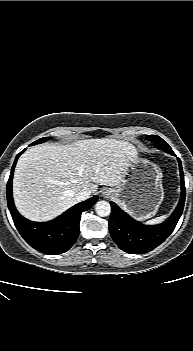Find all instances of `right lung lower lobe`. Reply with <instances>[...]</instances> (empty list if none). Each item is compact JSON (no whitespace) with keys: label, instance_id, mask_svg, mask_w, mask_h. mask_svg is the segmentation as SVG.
Returning a JSON list of instances; mask_svg holds the SVG:
<instances>
[{"label":"right lung lower lobe","instance_id":"right-lung-lower-lobe-1","mask_svg":"<svg viewBox=\"0 0 193 351\" xmlns=\"http://www.w3.org/2000/svg\"><path fill=\"white\" fill-rule=\"evenodd\" d=\"M13 164L7 183V202L14 224L24 240L34 249L50 255L61 254L68 251L79 235V223L83 211L90 209L98 197L76 204L56 219L38 223L24 218L16 210L12 196V178L18 157Z\"/></svg>","mask_w":193,"mask_h":351}]
</instances>
